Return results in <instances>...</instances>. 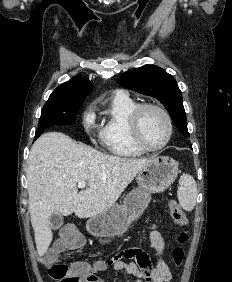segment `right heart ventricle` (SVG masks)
<instances>
[{"instance_id":"1","label":"right heart ventricle","mask_w":232,"mask_h":282,"mask_svg":"<svg viewBox=\"0 0 232 282\" xmlns=\"http://www.w3.org/2000/svg\"><path fill=\"white\" fill-rule=\"evenodd\" d=\"M138 104L126 93H116L105 109V120L101 130L103 147L119 157H136L145 151L137 147L129 133L128 118Z\"/></svg>"}]
</instances>
